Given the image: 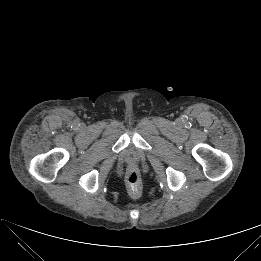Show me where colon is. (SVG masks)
Segmentation results:
<instances>
[{
	"label": "colon",
	"mask_w": 261,
	"mask_h": 261,
	"mask_svg": "<svg viewBox=\"0 0 261 261\" xmlns=\"http://www.w3.org/2000/svg\"><path fill=\"white\" fill-rule=\"evenodd\" d=\"M129 191L132 196L136 197L140 193V179L137 172L132 171L127 177Z\"/></svg>",
	"instance_id": "colon-1"
}]
</instances>
